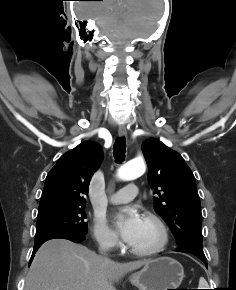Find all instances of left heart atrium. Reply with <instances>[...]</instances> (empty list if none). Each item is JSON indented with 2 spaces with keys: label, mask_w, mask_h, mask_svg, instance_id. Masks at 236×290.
<instances>
[{
  "label": "left heart atrium",
  "mask_w": 236,
  "mask_h": 290,
  "mask_svg": "<svg viewBox=\"0 0 236 290\" xmlns=\"http://www.w3.org/2000/svg\"><path fill=\"white\" fill-rule=\"evenodd\" d=\"M115 223L122 239L131 244L141 227L142 218L135 210L128 209L117 215Z\"/></svg>",
  "instance_id": "39dd6f15"
}]
</instances>
